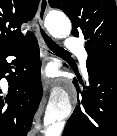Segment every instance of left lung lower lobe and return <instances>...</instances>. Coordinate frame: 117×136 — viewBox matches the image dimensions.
Segmentation results:
<instances>
[{"label": "left lung lower lobe", "mask_w": 117, "mask_h": 136, "mask_svg": "<svg viewBox=\"0 0 117 136\" xmlns=\"http://www.w3.org/2000/svg\"><path fill=\"white\" fill-rule=\"evenodd\" d=\"M89 86L80 90L78 105L68 119L62 136H117V62L86 63Z\"/></svg>", "instance_id": "left-lung-lower-lobe-1"}]
</instances>
